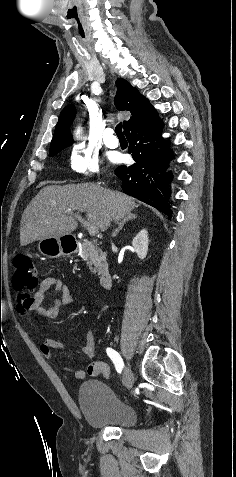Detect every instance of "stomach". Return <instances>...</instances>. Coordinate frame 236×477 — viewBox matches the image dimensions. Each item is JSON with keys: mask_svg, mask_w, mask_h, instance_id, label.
I'll return each instance as SVG.
<instances>
[{"mask_svg": "<svg viewBox=\"0 0 236 477\" xmlns=\"http://www.w3.org/2000/svg\"><path fill=\"white\" fill-rule=\"evenodd\" d=\"M62 237L46 238L40 240L38 243V250L41 254L49 258H57L59 256L71 253L73 250H66L62 244Z\"/></svg>", "mask_w": 236, "mask_h": 477, "instance_id": "1", "label": "stomach"}]
</instances>
